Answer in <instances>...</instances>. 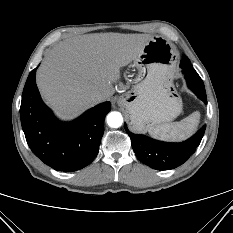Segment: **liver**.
I'll list each match as a JSON object with an SVG mask.
<instances>
[{
    "label": "liver",
    "mask_w": 233,
    "mask_h": 233,
    "mask_svg": "<svg viewBox=\"0 0 233 233\" xmlns=\"http://www.w3.org/2000/svg\"><path fill=\"white\" fill-rule=\"evenodd\" d=\"M152 39L149 34L97 33L61 41L48 50L37 70L36 83L45 102L62 119H72L109 99L120 69L138 58Z\"/></svg>",
    "instance_id": "liver-1"
}]
</instances>
